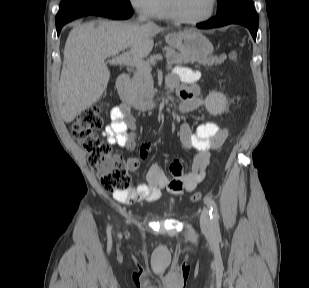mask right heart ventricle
<instances>
[{"mask_svg": "<svg viewBox=\"0 0 309 288\" xmlns=\"http://www.w3.org/2000/svg\"><path fill=\"white\" fill-rule=\"evenodd\" d=\"M158 16L159 17H166L167 16L166 9H165V3L163 4Z\"/></svg>", "mask_w": 309, "mask_h": 288, "instance_id": "right-heart-ventricle-1", "label": "right heart ventricle"}]
</instances>
